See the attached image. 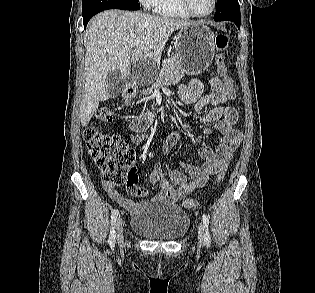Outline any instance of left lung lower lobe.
<instances>
[{
	"label": "left lung lower lobe",
	"instance_id": "obj_1",
	"mask_svg": "<svg viewBox=\"0 0 315 293\" xmlns=\"http://www.w3.org/2000/svg\"><path fill=\"white\" fill-rule=\"evenodd\" d=\"M232 22H234L237 25V27L240 28V20H234Z\"/></svg>",
	"mask_w": 315,
	"mask_h": 293
}]
</instances>
